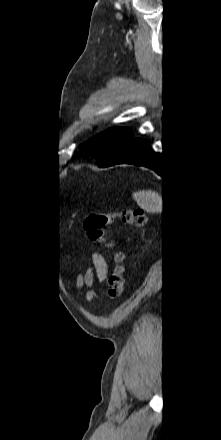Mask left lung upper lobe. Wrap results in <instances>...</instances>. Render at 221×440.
<instances>
[{"label": "left lung upper lobe", "mask_w": 221, "mask_h": 440, "mask_svg": "<svg viewBox=\"0 0 221 440\" xmlns=\"http://www.w3.org/2000/svg\"><path fill=\"white\" fill-rule=\"evenodd\" d=\"M132 138L128 129L111 128L81 144L80 148L95 157L99 167H107L123 157Z\"/></svg>", "instance_id": "5c2ea615"}]
</instances>
